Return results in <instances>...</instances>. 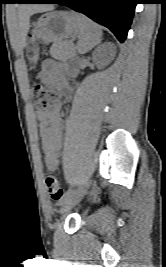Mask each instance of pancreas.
Returning a JSON list of instances; mask_svg holds the SVG:
<instances>
[{"instance_id": "cf45deb5", "label": "pancreas", "mask_w": 166, "mask_h": 267, "mask_svg": "<svg viewBox=\"0 0 166 267\" xmlns=\"http://www.w3.org/2000/svg\"><path fill=\"white\" fill-rule=\"evenodd\" d=\"M50 54L55 59L65 60L75 56V49L72 45L64 41H57L52 45Z\"/></svg>"}]
</instances>
